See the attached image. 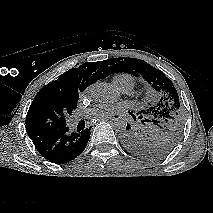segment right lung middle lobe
Listing matches in <instances>:
<instances>
[{
  "label": "right lung middle lobe",
  "instance_id": "dd1d6c3e",
  "mask_svg": "<svg viewBox=\"0 0 213 213\" xmlns=\"http://www.w3.org/2000/svg\"><path fill=\"white\" fill-rule=\"evenodd\" d=\"M79 95L60 92L39 93L26 116V131L31 138L66 127L65 117L77 108Z\"/></svg>",
  "mask_w": 213,
  "mask_h": 213
}]
</instances>
